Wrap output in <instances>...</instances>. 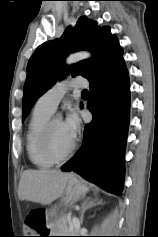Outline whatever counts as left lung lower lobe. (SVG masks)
I'll return each instance as SVG.
<instances>
[{"label":"left lung lower lobe","instance_id":"left-lung-lower-lobe-1","mask_svg":"<svg viewBox=\"0 0 158 237\" xmlns=\"http://www.w3.org/2000/svg\"><path fill=\"white\" fill-rule=\"evenodd\" d=\"M90 93L87 108L93 120L84 128L80 150L63 165L62 171H75L108 192L121 195L130 103L124 60L102 78L90 82Z\"/></svg>","mask_w":158,"mask_h":237}]
</instances>
